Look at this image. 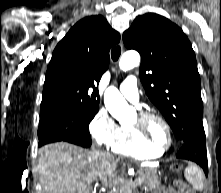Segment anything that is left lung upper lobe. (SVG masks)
Here are the masks:
<instances>
[{"instance_id":"left-lung-upper-lobe-1","label":"left lung upper lobe","mask_w":221,"mask_h":193,"mask_svg":"<svg viewBox=\"0 0 221 193\" xmlns=\"http://www.w3.org/2000/svg\"><path fill=\"white\" fill-rule=\"evenodd\" d=\"M128 49L142 57L139 76L178 139L205 135L200 76L195 53L184 32L167 18L146 13L123 34Z\"/></svg>"}]
</instances>
